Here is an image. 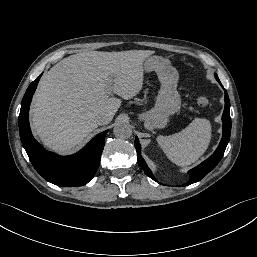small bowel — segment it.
<instances>
[{
	"label": "small bowel",
	"mask_w": 257,
	"mask_h": 257,
	"mask_svg": "<svg viewBox=\"0 0 257 257\" xmlns=\"http://www.w3.org/2000/svg\"><path fill=\"white\" fill-rule=\"evenodd\" d=\"M174 73L176 75H182L184 73V68L182 66H176L174 68Z\"/></svg>",
	"instance_id": "c3829d8e"
}]
</instances>
